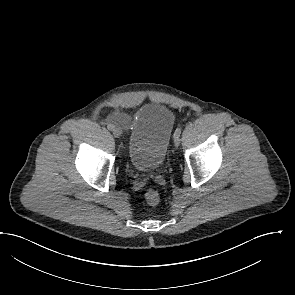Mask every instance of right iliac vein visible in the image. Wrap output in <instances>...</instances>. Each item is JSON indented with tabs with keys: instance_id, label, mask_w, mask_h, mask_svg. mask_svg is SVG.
<instances>
[{
	"instance_id": "1",
	"label": "right iliac vein",
	"mask_w": 295,
	"mask_h": 295,
	"mask_svg": "<svg viewBox=\"0 0 295 295\" xmlns=\"http://www.w3.org/2000/svg\"><path fill=\"white\" fill-rule=\"evenodd\" d=\"M112 133L115 138H120L122 136V130L119 127L114 128Z\"/></svg>"
}]
</instances>
